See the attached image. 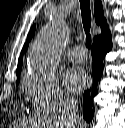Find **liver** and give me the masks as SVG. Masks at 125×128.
Returning a JSON list of instances; mask_svg holds the SVG:
<instances>
[{"label":"liver","mask_w":125,"mask_h":128,"mask_svg":"<svg viewBox=\"0 0 125 128\" xmlns=\"http://www.w3.org/2000/svg\"><path fill=\"white\" fill-rule=\"evenodd\" d=\"M58 125V121L55 120L54 123H53V126H57Z\"/></svg>","instance_id":"1"}]
</instances>
